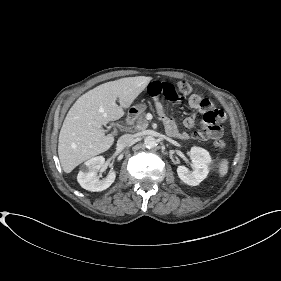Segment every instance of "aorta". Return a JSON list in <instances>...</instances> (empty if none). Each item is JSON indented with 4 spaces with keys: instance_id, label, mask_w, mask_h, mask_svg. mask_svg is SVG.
I'll use <instances>...</instances> for the list:
<instances>
[{
    "instance_id": "obj_1",
    "label": "aorta",
    "mask_w": 281,
    "mask_h": 281,
    "mask_svg": "<svg viewBox=\"0 0 281 281\" xmlns=\"http://www.w3.org/2000/svg\"><path fill=\"white\" fill-rule=\"evenodd\" d=\"M144 145H145L147 148L151 149V148L156 147L157 141H156V139H155L154 137H152V136H147V137H145V139H144Z\"/></svg>"
}]
</instances>
